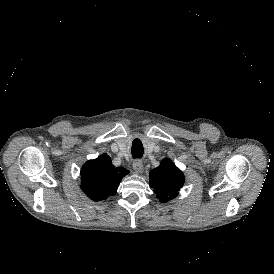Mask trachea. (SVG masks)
<instances>
[{"instance_id": "trachea-1", "label": "trachea", "mask_w": 274, "mask_h": 274, "mask_svg": "<svg viewBox=\"0 0 274 274\" xmlns=\"http://www.w3.org/2000/svg\"><path fill=\"white\" fill-rule=\"evenodd\" d=\"M143 146L132 147V155L134 158H141L143 156Z\"/></svg>"}]
</instances>
